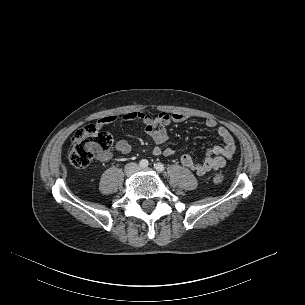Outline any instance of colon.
<instances>
[{
    "label": "colon",
    "instance_id": "obj_1",
    "mask_svg": "<svg viewBox=\"0 0 305 305\" xmlns=\"http://www.w3.org/2000/svg\"><path fill=\"white\" fill-rule=\"evenodd\" d=\"M112 143L113 138L108 132L101 131L94 125L84 126L72 137L69 162L76 168H85L97 155L109 150ZM223 178V174L218 171L212 175V181L216 184L221 183Z\"/></svg>",
    "mask_w": 305,
    "mask_h": 305
}]
</instances>
